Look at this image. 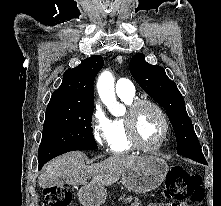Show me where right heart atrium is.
<instances>
[{"label": "right heart atrium", "mask_w": 221, "mask_h": 206, "mask_svg": "<svg viewBox=\"0 0 221 206\" xmlns=\"http://www.w3.org/2000/svg\"><path fill=\"white\" fill-rule=\"evenodd\" d=\"M108 124L109 120L105 116L101 106L96 103L92 115V128L94 139L101 146L108 145Z\"/></svg>", "instance_id": "right-heart-atrium-1"}]
</instances>
